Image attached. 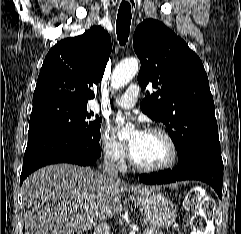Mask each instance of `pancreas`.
I'll return each mask as SVG.
<instances>
[{
	"label": "pancreas",
	"mask_w": 241,
	"mask_h": 234,
	"mask_svg": "<svg viewBox=\"0 0 241 234\" xmlns=\"http://www.w3.org/2000/svg\"><path fill=\"white\" fill-rule=\"evenodd\" d=\"M147 230L151 231V234H165L162 231H160V230H158L157 228H154V227L148 228Z\"/></svg>",
	"instance_id": "1"
}]
</instances>
